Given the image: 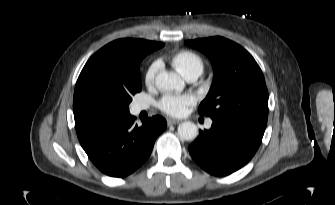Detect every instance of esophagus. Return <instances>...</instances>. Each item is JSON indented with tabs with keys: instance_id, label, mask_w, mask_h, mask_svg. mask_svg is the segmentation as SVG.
<instances>
[{
	"instance_id": "obj_1",
	"label": "esophagus",
	"mask_w": 335,
	"mask_h": 205,
	"mask_svg": "<svg viewBox=\"0 0 335 205\" xmlns=\"http://www.w3.org/2000/svg\"><path fill=\"white\" fill-rule=\"evenodd\" d=\"M180 121L176 120V119H172V118H168L167 119V124L168 125H174V124H178Z\"/></svg>"
}]
</instances>
